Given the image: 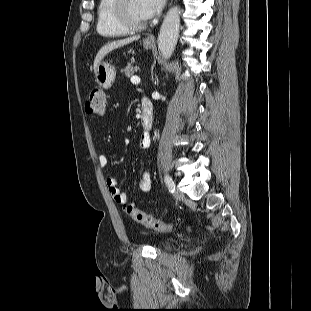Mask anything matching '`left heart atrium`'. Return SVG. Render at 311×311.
<instances>
[{"mask_svg":"<svg viewBox=\"0 0 311 311\" xmlns=\"http://www.w3.org/2000/svg\"><path fill=\"white\" fill-rule=\"evenodd\" d=\"M166 0H139L140 12L145 19L157 15L165 5Z\"/></svg>","mask_w":311,"mask_h":311,"instance_id":"39dd6f15","label":"left heart atrium"}]
</instances>
